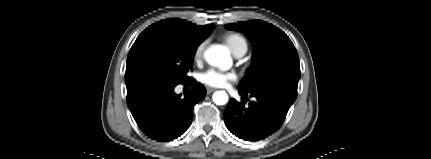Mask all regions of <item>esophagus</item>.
<instances>
[{
	"label": "esophagus",
	"mask_w": 431,
	"mask_h": 159,
	"mask_svg": "<svg viewBox=\"0 0 431 159\" xmlns=\"http://www.w3.org/2000/svg\"><path fill=\"white\" fill-rule=\"evenodd\" d=\"M215 91V88H207V94H210Z\"/></svg>",
	"instance_id": "esophagus-1"
}]
</instances>
